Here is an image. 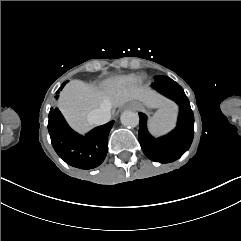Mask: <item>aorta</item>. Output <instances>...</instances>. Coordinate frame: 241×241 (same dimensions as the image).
I'll return each instance as SVG.
<instances>
[{"label": "aorta", "instance_id": "762f6f07", "mask_svg": "<svg viewBox=\"0 0 241 241\" xmlns=\"http://www.w3.org/2000/svg\"><path fill=\"white\" fill-rule=\"evenodd\" d=\"M139 120V115L131 110L124 111L120 117L122 125L128 128L136 127L139 124Z\"/></svg>", "mask_w": 241, "mask_h": 241}]
</instances>
